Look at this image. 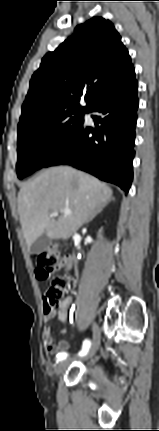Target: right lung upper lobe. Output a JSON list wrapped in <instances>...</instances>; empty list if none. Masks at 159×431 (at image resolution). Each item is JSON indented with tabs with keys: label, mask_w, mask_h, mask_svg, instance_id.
<instances>
[{
	"label": "right lung upper lobe",
	"mask_w": 159,
	"mask_h": 431,
	"mask_svg": "<svg viewBox=\"0 0 159 431\" xmlns=\"http://www.w3.org/2000/svg\"><path fill=\"white\" fill-rule=\"evenodd\" d=\"M134 77L130 56L113 24L93 17L43 57L31 78L18 130L62 112H88ZM82 96L83 106L79 103Z\"/></svg>",
	"instance_id": "right-lung-upper-lobe-1"
}]
</instances>
